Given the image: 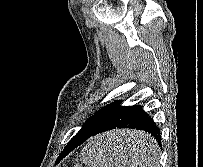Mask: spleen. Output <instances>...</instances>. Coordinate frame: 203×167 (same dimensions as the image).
<instances>
[{
	"label": "spleen",
	"instance_id": "1",
	"mask_svg": "<svg viewBox=\"0 0 203 167\" xmlns=\"http://www.w3.org/2000/svg\"><path fill=\"white\" fill-rule=\"evenodd\" d=\"M135 140L137 144L145 146V151L143 150L140 154L137 153L141 158L140 161L144 163L139 167H159L156 141L144 133L138 134ZM112 142L115 143V136L101 135L91 139L83 150L82 162L91 167H136L135 163L128 165L126 160H120L117 150L111 146Z\"/></svg>",
	"mask_w": 203,
	"mask_h": 167
}]
</instances>
